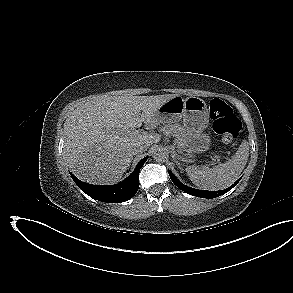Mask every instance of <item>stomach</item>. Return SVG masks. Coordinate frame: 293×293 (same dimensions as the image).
<instances>
[{
  "instance_id": "stomach-1",
  "label": "stomach",
  "mask_w": 293,
  "mask_h": 293,
  "mask_svg": "<svg viewBox=\"0 0 293 293\" xmlns=\"http://www.w3.org/2000/svg\"><path fill=\"white\" fill-rule=\"evenodd\" d=\"M156 117L158 123L162 124L178 122L183 118L189 153H202L209 149L211 138L205 129L209 124L210 112L203 99L176 96L158 109Z\"/></svg>"
}]
</instances>
